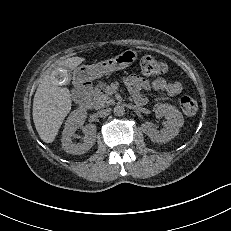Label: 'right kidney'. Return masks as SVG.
Masks as SVG:
<instances>
[{
    "label": "right kidney",
    "instance_id": "ca27d5eb",
    "mask_svg": "<svg viewBox=\"0 0 231 231\" xmlns=\"http://www.w3.org/2000/svg\"><path fill=\"white\" fill-rule=\"evenodd\" d=\"M87 113L83 110L73 111L66 120L64 130L62 132V148L69 154L80 155L86 153L96 141V125L88 124L83 126ZM82 128L85 136L82 143H74L72 136L78 128Z\"/></svg>",
    "mask_w": 231,
    "mask_h": 231
}]
</instances>
